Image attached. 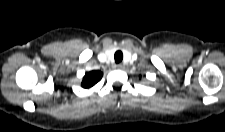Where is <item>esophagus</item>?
Here are the masks:
<instances>
[{
	"instance_id": "esophagus-1",
	"label": "esophagus",
	"mask_w": 225,
	"mask_h": 132,
	"mask_svg": "<svg viewBox=\"0 0 225 132\" xmlns=\"http://www.w3.org/2000/svg\"><path fill=\"white\" fill-rule=\"evenodd\" d=\"M123 67H124V66H123V64H121V63L118 64V65H116V68L119 69V70L123 69Z\"/></svg>"
}]
</instances>
